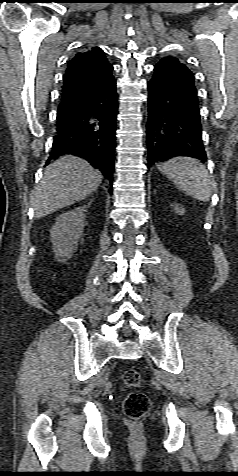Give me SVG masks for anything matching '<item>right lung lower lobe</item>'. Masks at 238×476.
Listing matches in <instances>:
<instances>
[{"label": "right lung lower lobe", "instance_id": "right-lung-lower-lobe-1", "mask_svg": "<svg viewBox=\"0 0 238 476\" xmlns=\"http://www.w3.org/2000/svg\"><path fill=\"white\" fill-rule=\"evenodd\" d=\"M118 112L116 81L83 103L58 111L51 158L74 154L98 168L112 184Z\"/></svg>", "mask_w": 238, "mask_h": 476}]
</instances>
